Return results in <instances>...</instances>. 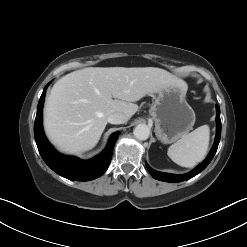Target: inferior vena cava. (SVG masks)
Instances as JSON below:
<instances>
[{"instance_id": "1", "label": "inferior vena cava", "mask_w": 247, "mask_h": 247, "mask_svg": "<svg viewBox=\"0 0 247 247\" xmlns=\"http://www.w3.org/2000/svg\"><path fill=\"white\" fill-rule=\"evenodd\" d=\"M107 121L111 124H124L128 121V117L123 113L114 112L108 116Z\"/></svg>"}]
</instances>
